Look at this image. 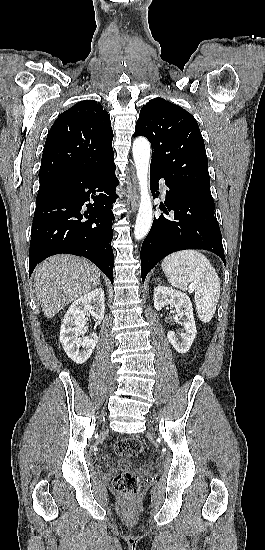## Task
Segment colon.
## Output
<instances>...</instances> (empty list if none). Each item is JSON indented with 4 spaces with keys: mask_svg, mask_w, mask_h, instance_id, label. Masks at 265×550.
<instances>
[{
    "mask_svg": "<svg viewBox=\"0 0 265 550\" xmlns=\"http://www.w3.org/2000/svg\"><path fill=\"white\" fill-rule=\"evenodd\" d=\"M143 449L142 442L134 437L118 440L114 445L115 452L120 456L134 457ZM113 488L121 496L131 499L139 490L136 475L130 471L118 472L113 478Z\"/></svg>",
    "mask_w": 265,
    "mask_h": 550,
    "instance_id": "obj_1",
    "label": "colon"
}]
</instances>
